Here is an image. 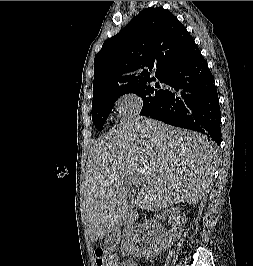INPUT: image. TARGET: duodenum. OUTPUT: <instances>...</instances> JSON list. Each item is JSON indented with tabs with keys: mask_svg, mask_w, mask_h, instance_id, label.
Returning a JSON list of instances; mask_svg holds the SVG:
<instances>
[{
	"mask_svg": "<svg viewBox=\"0 0 253 266\" xmlns=\"http://www.w3.org/2000/svg\"><path fill=\"white\" fill-rule=\"evenodd\" d=\"M116 237L114 236V234L112 233H107L105 236H104V240H105V243L106 244H110L114 241Z\"/></svg>",
	"mask_w": 253,
	"mask_h": 266,
	"instance_id": "obj_1",
	"label": "duodenum"
}]
</instances>
